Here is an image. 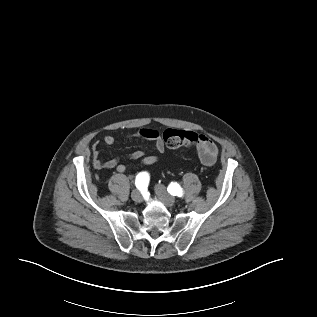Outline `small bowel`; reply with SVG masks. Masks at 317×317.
Returning <instances> with one entry per match:
<instances>
[{"mask_svg": "<svg viewBox=\"0 0 317 317\" xmlns=\"http://www.w3.org/2000/svg\"><path fill=\"white\" fill-rule=\"evenodd\" d=\"M199 139L196 142V150L201 162L205 165H212L215 163L218 155V147L216 143L204 134H198ZM131 137H137L144 140L154 142L155 151L162 153L165 150L164 142L157 130L150 128H142L136 131ZM105 145H113L115 138L112 135H105L103 138ZM127 159L138 160L144 166L155 164L158 161L157 155H146L142 150H135L127 156ZM92 163L96 169H115L119 173L126 172V166L122 163L121 158H113L109 160H102L100 157L99 145H94L92 149Z\"/></svg>", "mask_w": 317, "mask_h": 317, "instance_id": "small-bowel-1", "label": "small bowel"}]
</instances>
